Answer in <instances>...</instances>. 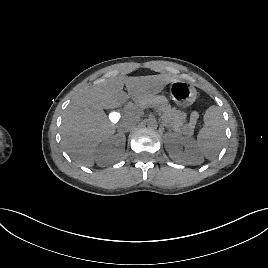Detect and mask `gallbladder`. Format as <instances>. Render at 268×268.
<instances>
[{
  "label": "gallbladder",
  "mask_w": 268,
  "mask_h": 268,
  "mask_svg": "<svg viewBox=\"0 0 268 268\" xmlns=\"http://www.w3.org/2000/svg\"><path fill=\"white\" fill-rule=\"evenodd\" d=\"M107 121L110 124H118L121 121V114L118 111H110L107 114Z\"/></svg>",
  "instance_id": "obj_1"
}]
</instances>
